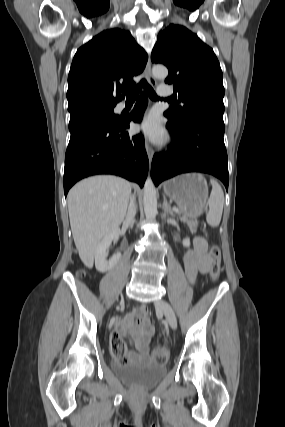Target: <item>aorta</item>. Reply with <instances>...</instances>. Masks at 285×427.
I'll return each instance as SVG.
<instances>
[{
    "instance_id": "obj_1",
    "label": "aorta",
    "mask_w": 285,
    "mask_h": 427,
    "mask_svg": "<svg viewBox=\"0 0 285 427\" xmlns=\"http://www.w3.org/2000/svg\"><path fill=\"white\" fill-rule=\"evenodd\" d=\"M153 76L159 79H165L168 76V70L163 65H155L152 68ZM144 213L146 218L154 219L157 215V196L155 185L150 176H148L143 188Z\"/></svg>"
}]
</instances>
